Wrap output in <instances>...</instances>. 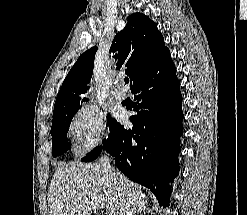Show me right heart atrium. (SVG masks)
<instances>
[{
    "label": "right heart atrium",
    "mask_w": 247,
    "mask_h": 215,
    "mask_svg": "<svg viewBox=\"0 0 247 215\" xmlns=\"http://www.w3.org/2000/svg\"><path fill=\"white\" fill-rule=\"evenodd\" d=\"M68 131L75 141L77 153H89L107 137L105 115L94 106H82L72 117Z\"/></svg>",
    "instance_id": "right-heart-atrium-1"
}]
</instances>
